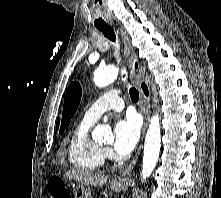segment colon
<instances>
[{"label": "colon", "mask_w": 221, "mask_h": 198, "mask_svg": "<svg viewBox=\"0 0 221 198\" xmlns=\"http://www.w3.org/2000/svg\"><path fill=\"white\" fill-rule=\"evenodd\" d=\"M49 198H70L64 182L59 177H53L48 182Z\"/></svg>", "instance_id": "colon-1"}]
</instances>
